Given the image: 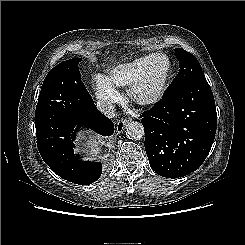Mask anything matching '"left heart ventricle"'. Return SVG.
<instances>
[{
    "label": "left heart ventricle",
    "mask_w": 245,
    "mask_h": 245,
    "mask_svg": "<svg viewBox=\"0 0 245 245\" xmlns=\"http://www.w3.org/2000/svg\"><path fill=\"white\" fill-rule=\"evenodd\" d=\"M165 67H166L165 59L157 57L151 60L148 68L144 89H143L144 94L147 95L155 91L164 74Z\"/></svg>",
    "instance_id": "obj_1"
}]
</instances>
